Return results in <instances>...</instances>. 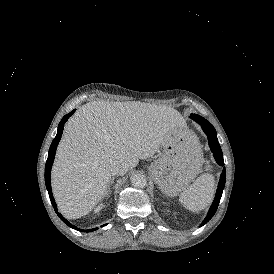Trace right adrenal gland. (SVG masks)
<instances>
[{
  "instance_id": "obj_1",
  "label": "right adrenal gland",
  "mask_w": 274,
  "mask_h": 274,
  "mask_svg": "<svg viewBox=\"0 0 274 274\" xmlns=\"http://www.w3.org/2000/svg\"><path fill=\"white\" fill-rule=\"evenodd\" d=\"M114 179V178H113ZM111 185V184H110ZM110 189L107 190L106 195L103 197V199L108 200L110 197V193H108Z\"/></svg>"
}]
</instances>
